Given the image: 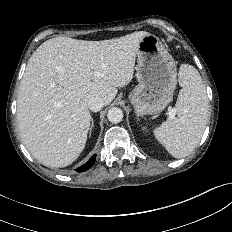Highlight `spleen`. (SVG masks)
I'll use <instances>...</instances> for the list:
<instances>
[{
  "mask_svg": "<svg viewBox=\"0 0 232 232\" xmlns=\"http://www.w3.org/2000/svg\"><path fill=\"white\" fill-rule=\"evenodd\" d=\"M177 116L169 118L155 129V136L175 158L187 156L199 143L208 121L206 88L199 72L182 64L179 70Z\"/></svg>",
  "mask_w": 232,
  "mask_h": 232,
  "instance_id": "1",
  "label": "spleen"
}]
</instances>
